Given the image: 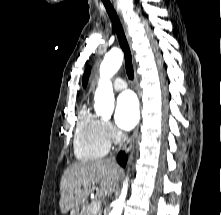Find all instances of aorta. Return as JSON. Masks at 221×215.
<instances>
[{
    "label": "aorta",
    "mask_w": 221,
    "mask_h": 215,
    "mask_svg": "<svg viewBox=\"0 0 221 215\" xmlns=\"http://www.w3.org/2000/svg\"><path fill=\"white\" fill-rule=\"evenodd\" d=\"M123 54L118 48L111 49L104 57L100 65V80L96 89L94 100V108L96 113L102 116L111 114L114 108V94L110 79L119 70L122 65ZM127 180L123 184L121 194L118 199L113 202V208L109 215H121L125 198L127 195Z\"/></svg>",
    "instance_id": "aorta-1"
}]
</instances>
